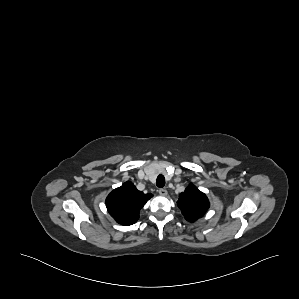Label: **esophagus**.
<instances>
[{
    "label": "esophagus",
    "instance_id": "34e87169",
    "mask_svg": "<svg viewBox=\"0 0 299 299\" xmlns=\"http://www.w3.org/2000/svg\"><path fill=\"white\" fill-rule=\"evenodd\" d=\"M158 192H159V194H160L161 196H166V195H167V190L164 189V188L159 189Z\"/></svg>",
    "mask_w": 299,
    "mask_h": 299
}]
</instances>
